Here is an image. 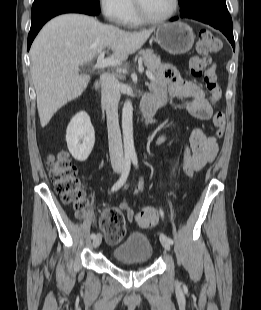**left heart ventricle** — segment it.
Wrapping results in <instances>:
<instances>
[{
  "mask_svg": "<svg viewBox=\"0 0 261 310\" xmlns=\"http://www.w3.org/2000/svg\"><path fill=\"white\" fill-rule=\"evenodd\" d=\"M144 12L150 17H162L173 8V0H138Z\"/></svg>",
  "mask_w": 261,
  "mask_h": 310,
  "instance_id": "left-heart-ventricle-1",
  "label": "left heart ventricle"
}]
</instances>
